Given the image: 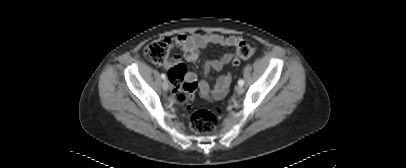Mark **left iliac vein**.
<instances>
[{
  "instance_id": "1",
  "label": "left iliac vein",
  "mask_w": 406,
  "mask_h": 168,
  "mask_svg": "<svg viewBox=\"0 0 406 168\" xmlns=\"http://www.w3.org/2000/svg\"><path fill=\"white\" fill-rule=\"evenodd\" d=\"M236 92H237V94H239V95L243 94V93H244V88H243V86L239 85V86L236 88Z\"/></svg>"
}]
</instances>
